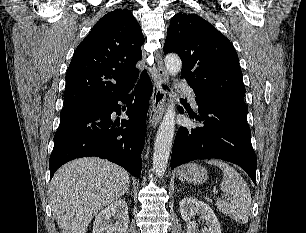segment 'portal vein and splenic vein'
<instances>
[{"mask_svg":"<svg viewBox=\"0 0 306 233\" xmlns=\"http://www.w3.org/2000/svg\"><path fill=\"white\" fill-rule=\"evenodd\" d=\"M213 193H214V194H217V193H218V191H217V190H214V191H213ZM222 198H225V199H227V200H230L229 198H227V197H226V196H224V195L222 196Z\"/></svg>","mask_w":306,"mask_h":233,"instance_id":"18ae733b","label":"portal vein and splenic vein"}]
</instances>
